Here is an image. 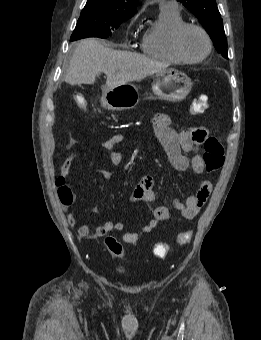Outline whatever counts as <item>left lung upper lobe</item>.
Listing matches in <instances>:
<instances>
[{"label":"left lung upper lobe","instance_id":"obj_1","mask_svg":"<svg viewBox=\"0 0 261 340\" xmlns=\"http://www.w3.org/2000/svg\"><path fill=\"white\" fill-rule=\"evenodd\" d=\"M188 8L200 21L211 37L216 50L225 58L227 54V39L223 20L215 0H178Z\"/></svg>","mask_w":261,"mask_h":340}]
</instances>
